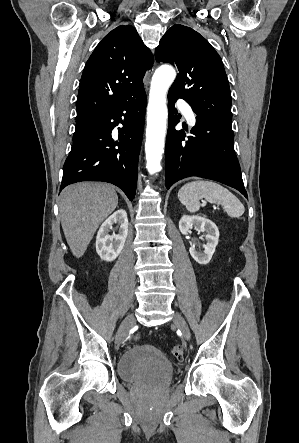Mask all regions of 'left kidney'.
<instances>
[{"mask_svg":"<svg viewBox=\"0 0 299 443\" xmlns=\"http://www.w3.org/2000/svg\"><path fill=\"white\" fill-rule=\"evenodd\" d=\"M195 228L197 231L206 232L204 251L196 250L195 245L189 248L190 255L199 264L206 265L210 262L219 240V230L214 222L201 216L184 215L179 221V230L187 235L189 230Z\"/></svg>","mask_w":299,"mask_h":443,"instance_id":"obj_1","label":"left kidney"}]
</instances>
